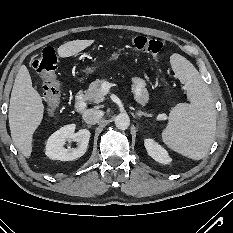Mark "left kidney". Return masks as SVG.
I'll return each instance as SVG.
<instances>
[{"label": "left kidney", "instance_id": "obj_1", "mask_svg": "<svg viewBox=\"0 0 233 233\" xmlns=\"http://www.w3.org/2000/svg\"><path fill=\"white\" fill-rule=\"evenodd\" d=\"M144 145L148 154L155 161L162 164H169L171 162V158L168 155V152L159 144H157L153 139H145Z\"/></svg>", "mask_w": 233, "mask_h": 233}]
</instances>
